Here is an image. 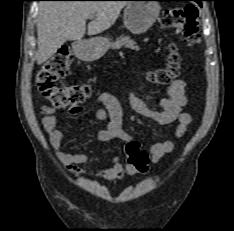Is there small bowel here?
Returning a JSON list of instances; mask_svg holds the SVG:
<instances>
[{
    "label": "small bowel",
    "mask_w": 234,
    "mask_h": 231,
    "mask_svg": "<svg viewBox=\"0 0 234 231\" xmlns=\"http://www.w3.org/2000/svg\"><path fill=\"white\" fill-rule=\"evenodd\" d=\"M102 107L95 115L99 120H108L105 129L99 131L97 138L99 141H110L119 139L129 142L131 136L123 129V114L118 99L109 93H102L98 97ZM129 103L135 113L148 118L160 125L169 126L177 123L174 134L181 138L191 124V116L183 111L188 102L185 92V83L183 80H174L168 89V94L158 100L159 110H153L137 95L135 91L128 94ZM82 107H76L72 110L73 114L81 113ZM40 112L42 117V126L49 136V142L53 148L57 159L70 172L79 175H92L103 178L108 181H119L126 175H131L137 170L130 164H122L118 157L112 158V166L103 169L97 173H89L83 170L80 165L89 163L92 160L90 154H73L61 150L63 132L58 129L59 118L55 114V109L51 106H42ZM176 145L173 141L163 140L154 143L150 148V160L152 163H158L165 155L173 152Z\"/></svg>",
    "instance_id": "obj_1"
}]
</instances>
